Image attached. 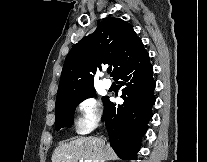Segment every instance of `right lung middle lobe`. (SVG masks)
<instances>
[{
	"mask_svg": "<svg viewBox=\"0 0 207 162\" xmlns=\"http://www.w3.org/2000/svg\"><path fill=\"white\" fill-rule=\"evenodd\" d=\"M95 96V90H91L82 94L66 96L56 99L55 107V126L59 130L62 127H70L74 119V111L77 105L84 99ZM104 104L108 98H102Z\"/></svg>",
	"mask_w": 207,
	"mask_h": 162,
	"instance_id": "obj_1",
	"label": "right lung middle lobe"
}]
</instances>
